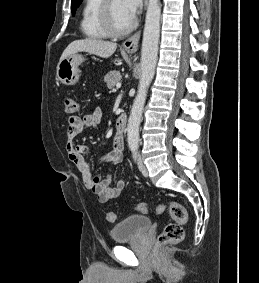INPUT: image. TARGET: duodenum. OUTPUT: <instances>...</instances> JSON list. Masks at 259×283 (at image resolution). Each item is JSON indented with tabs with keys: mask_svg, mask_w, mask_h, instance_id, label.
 <instances>
[{
	"mask_svg": "<svg viewBox=\"0 0 259 283\" xmlns=\"http://www.w3.org/2000/svg\"><path fill=\"white\" fill-rule=\"evenodd\" d=\"M127 127V117L125 115L119 116L116 122V133L118 135H123Z\"/></svg>",
	"mask_w": 259,
	"mask_h": 283,
	"instance_id": "obj_1",
	"label": "duodenum"
}]
</instances>
